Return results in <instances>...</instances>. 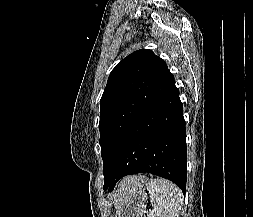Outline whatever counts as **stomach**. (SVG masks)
<instances>
[{
	"label": "stomach",
	"mask_w": 253,
	"mask_h": 217,
	"mask_svg": "<svg viewBox=\"0 0 253 217\" xmlns=\"http://www.w3.org/2000/svg\"><path fill=\"white\" fill-rule=\"evenodd\" d=\"M148 203V196L142 189L137 187L122 199L115 202L114 217H143Z\"/></svg>",
	"instance_id": "1"
}]
</instances>
